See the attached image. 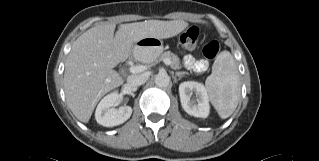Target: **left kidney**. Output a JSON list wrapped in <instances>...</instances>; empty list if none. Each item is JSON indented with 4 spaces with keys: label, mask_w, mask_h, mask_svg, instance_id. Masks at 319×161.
Masks as SVG:
<instances>
[{
    "label": "left kidney",
    "mask_w": 319,
    "mask_h": 161,
    "mask_svg": "<svg viewBox=\"0 0 319 161\" xmlns=\"http://www.w3.org/2000/svg\"><path fill=\"white\" fill-rule=\"evenodd\" d=\"M193 93L196 94V99H191ZM179 95L186 113L201 118L209 115L208 95L203 84L194 81L183 82L179 85Z\"/></svg>",
    "instance_id": "1"
}]
</instances>
